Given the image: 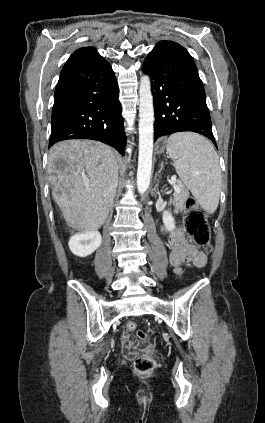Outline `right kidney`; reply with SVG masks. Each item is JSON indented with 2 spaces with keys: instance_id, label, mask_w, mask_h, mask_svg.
<instances>
[{
  "instance_id": "right-kidney-1",
  "label": "right kidney",
  "mask_w": 265,
  "mask_h": 423,
  "mask_svg": "<svg viewBox=\"0 0 265 423\" xmlns=\"http://www.w3.org/2000/svg\"><path fill=\"white\" fill-rule=\"evenodd\" d=\"M102 237L99 231L93 230L86 233L73 235L69 240L71 252L79 257H86L95 252L101 245Z\"/></svg>"
}]
</instances>
